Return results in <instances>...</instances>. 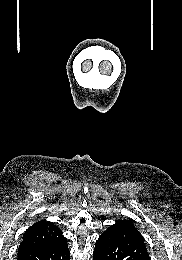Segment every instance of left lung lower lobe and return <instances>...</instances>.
I'll list each match as a JSON object with an SVG mask.
<instances>
[{"instance_id": "left-lung-lower-lobe-1", "label": "left lung lower lobe", "mask_w": 182, "mask_h": 260, "mask_svg": "<svg viewBox=\"0 0 182 260\" xmlns=\"http://www.w3.org/2000/svg\"><path fill=\"white\" fill-rule=\"evenodd\" d=\"M93 260H150V256L141 234L110 226L96 241Z\"/></svg>"}]
</instances>
